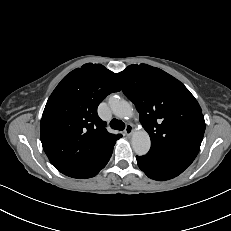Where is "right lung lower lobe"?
I'll return each mask as SVG.
<instances>
[{
	"instance_id": "right-lung-lower-lobe-1",
	"label": "right lung lower lobe",
	"mask_w": 231,
	"mask_h": 231,
	"mask_svg": "<svg viewBox=\"0 0 231 231\" xmlns=\"http://www.w3.org/2000/svg\"><path fill=\"white\" fill-rule=\"evenodd\" d=\"M113 147L114 145L110 147V149H108L102 156H100L97 160H95L91 164L67 176H70L72 178H90L97 175L99 171L103 169L108 163L113 152Z\"/></svg>"
}]
</instances>
